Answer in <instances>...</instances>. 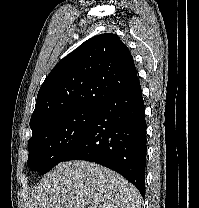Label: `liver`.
I'll return each mask as SVG.
<instances>
[{"label": "liver", "instance_id": "liver-1", "mask_svg": "<svg viewBox=\"0 0 199 208\" xmlns=\"http://www.w3.org/2000/svg\"><path fill=\"white\" fill-rule=\"evenodd\" d=\"M138 190L88 161L61 162L33 188L29 208H141Z\"/></svg>", "mask_w": 199, "mask_h": 208}]
</instances>
